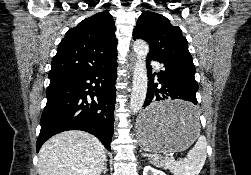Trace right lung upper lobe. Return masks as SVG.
<instances>
[{"instance_id": "obj_1", "label": "right lung upper lobe", "mask_w": 251, "mask_h": 175, "mask_svg": "<svg viewBox=\"0 0 251 175\" xmlns=\"http://www.w3.org/2000/svg\"><path fill=\"white\" fill-rule=\"evenodd\" d=\"M115 24L101 11L69 29L51 62L49 78L103 68L117 58Z\"/></svg>"}]
</instances>
